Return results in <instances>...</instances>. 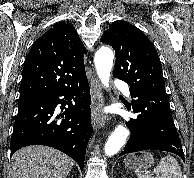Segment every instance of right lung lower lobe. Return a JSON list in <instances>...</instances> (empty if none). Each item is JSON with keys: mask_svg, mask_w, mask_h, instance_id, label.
Masks as SVG:
<instances>
[{"mask_svg": "<svg viewBox=\"0 0 194 178\" xmlns=\"http://www.w3.org/2000/svg\"><path fill=\"white\" fill-rule=\"evenodd\" d=\"M90 103L87 78L75 86L19 99L11 137V154L25 146L46 145L69 155L82 170L93 131ZM58 104L61 110L65 109L62 118L54 114Z\"/></svg>", "mask_w": 194, "mask_h": 178, "instance_id": "98d812e1", "label": "right lung lower lobe"}]
</instances>
